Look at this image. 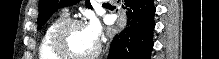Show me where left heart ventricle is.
Returning a JSON list of instances; mask_svg holds the SVG:
<instances>
[{"instance_id":"1","label":"left heart ventricle","mask_w":219,"mask_h":59,"mask_svg":"<svg viewBox=\"0 0 219 59\" xmlns=\"http://www.w3.org/2000/svg\"><path fill=\"white\" fill-rule=\"evenodd\" d=\"M66 46L71 53L84 55L94 50L96 42L88 36L84 26H74L67 32Z\"/></svg>"}]
</instances>
